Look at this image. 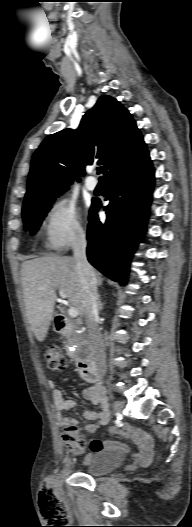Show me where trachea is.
Returning <instances> with one entry per match:
<instances>
[{
	"label": "trachea",
	"instance_id": "obj_1",
	"mask_svg": "<svg viewBox=\"0 0 192 527\" xmlns=\"http://www.w3.org/2000/svg\"><path fill=\"white\" fill-rule=\"evenodd\" d=\"M102 172L101 168L97 169V173L100 174ZM101 179V178H100Z\"/></svg>",
	"mask_w": 192,
	"mask_h": 527
}]
</instances>
